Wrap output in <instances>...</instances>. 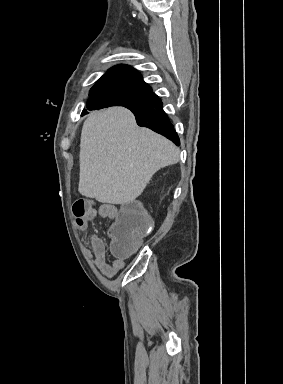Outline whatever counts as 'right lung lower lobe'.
Wrapping results in <instances>:
<instances>
[{
	"label": "right lung lower lobe",
	"instance_id": "right-lung-lower-lobe-1",
	"mask_svg": "<svg viewBox=\"0 0 283 384\" xmlns=\"http://www.w3.org/2000/svg\"><path fill=\"white\" fill-rule=\"evenodd\" d=\"M136 117L139 126L147 127L167 137L175 144L180 145L179 137L171 124L168 116L162 108V102L157 99L151 106L145 108H129ZM93 110V109H89ZM87 114L84 110L82 115Z\"/></svg>",
	"mask_w": 283,
	"mask_h": 384
}]
</instances>
